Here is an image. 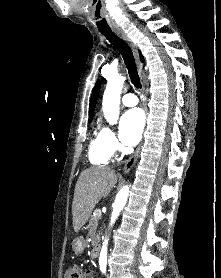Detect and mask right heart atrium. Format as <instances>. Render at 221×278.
Returning a JSON list of instances; mask_svg holds the SVG:
<instances>
[{
	"label": "right heart atrium",
	"instance_id": "1",
	"mask_svg": "<svg viewBox=\"0 0 221 278\" xmlns=\"http://www.w3.org/2000/svg\"><path fill=\"white\" fill-rule=\"evenodd\" d=\"M101 132L110 151L115 153L117 150H119L120 145L115 136V133L108 127H104Z\"/></svg>",
	"mask_w": 221,
	"mask_h": 278
}]
</instances>
